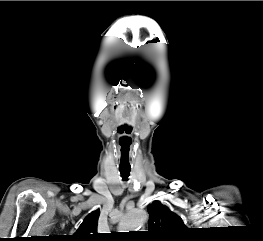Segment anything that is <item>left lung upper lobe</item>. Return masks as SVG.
<instances>
[{"label": "left lung upper lobe", "instance_id": "5c2ea615", "mask_svg": "<svg viewBox=\"0 0 263 241\" xmlns=\"http://www.w3.org/2000/svg\"><path fill=\"white\" fill-rule=\"evenodd\" d=\"M148 233L158 241H182L188 228L177 214L165 205L154 201L148 206Z\"/></svg>", "mask_w": 263, "mask_h": 241}]
</instances>
